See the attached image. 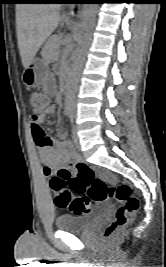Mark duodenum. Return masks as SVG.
I'll return each mask as SVG.
<instances>
[{
  "instance_id": "duodenum-1",
  "label": "duodenum",
  "mask_w": 166,
  "mask_h": 267,
  "mask_svg": "<svg viewBox=\"0 0 166 267\" xmlns=\"http://www.w3.org/2000/svg\"><path fill=\"white\" fill-rule=\"evenodd\" d=\"M69 83H70V76L68 74H66L63 77V87L66 89L68 87Z\"/></svg>"
}]
</instances>
